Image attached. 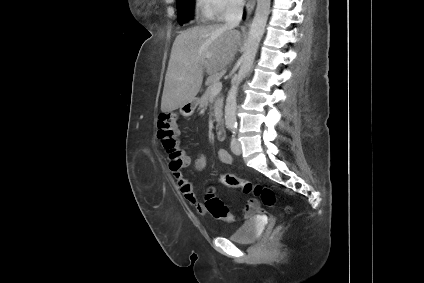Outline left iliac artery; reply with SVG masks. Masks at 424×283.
<instances>
[{
	"mask_svg": "<svg viewBox=\"0 0 424 283\" xmlns=\"http://www.w3.org/2000/svg\"><path fill=\"white\" fill-rule=\"evenodd\" d=\"M231 130H232V133H233V134H235L236 126H232V127H231Z\"/></svg>",
	"mask_w": 424,
	"mask_h": 283,
	"instance_id": "left-iliac-artery-1",
	"label": "left iliac artery"
}]
</instances>
